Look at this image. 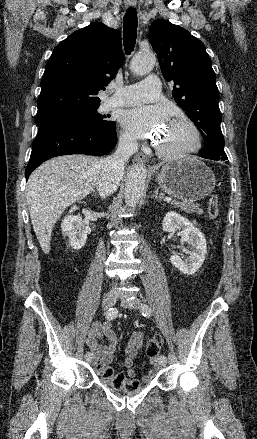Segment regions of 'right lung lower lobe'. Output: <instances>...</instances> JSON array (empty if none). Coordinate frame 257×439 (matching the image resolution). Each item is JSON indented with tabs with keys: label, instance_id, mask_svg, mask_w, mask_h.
I'll return each instance as SVG.
<instances>
[{
	"label": "right lung lower lobe",
	"instance_id": "right-lung-lower-lobe-1",
	"mask_svg": "<svg viewBox=\"0 0 257 439\" xmlns=\"http://www.w3.org/2000/svg\"><path fill=\"white\" fill-rule=\"evenodd\" d=\"M115 130L116 126L112 129L99 128L73 120H56L39 125L25 170L26 180L36 167L52 157L67 154L102 156L109 153L117 142Z\"/></svg>",
	"mask_w": 257,
	"mask_h": 439
}]
</instances>
